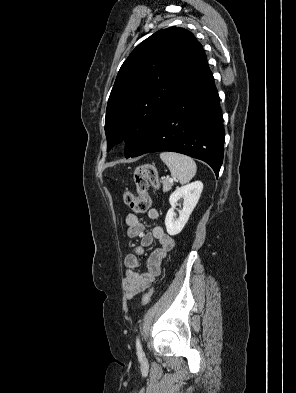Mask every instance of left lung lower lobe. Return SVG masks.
I'll return each instance as SVG.
<instances>
[{"label":"left lung lower lobe","instance_id":"1","mask_svg":"<svg viewBox=\"0 0 296 393\" xmlns=\"http://www.w3.org/2000/svg\"><path fill=\"white\" fill-rule=\"evenodd\" d=\"M223 149L224 127L219 95L206 62L171 101L130 157L156 151L178 152L203 160L218 176Z\"/></svg>","mask_w":296,"mask_h":393}]
</instances>
